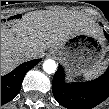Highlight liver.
Wrapping results in <instances>:
<instances>
[{
    "label": "liver",
    "instance_id": "obj_1",
    "mask_svg": "<svg viewBox=\"0 0 109 109\" xmlns=\"http://www.w3.org/2000/svg\"><path fill=\"white\" fill-rule=\"evenodd\" d=\"M104 37L102 29L77 11H33L10 29L1 27V73L6 74L25 61L21 52L31 50L34 58L45 50L62 46L75 32Z\"/></svg>",
    "mask_w": 109,
    "mask_h": 109
}]
</instances>
